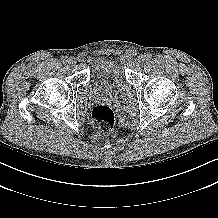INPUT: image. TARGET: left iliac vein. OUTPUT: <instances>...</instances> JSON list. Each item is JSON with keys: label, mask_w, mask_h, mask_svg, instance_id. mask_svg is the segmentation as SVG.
<instances>
[{"label": "left iliac vein", "mask_w": 218, "mask_h": 218, "mask_svg": "<svg viewBox=\"0 0 218 218\" xmlns=\"http://www.w3.org/2000/svg\"><path fill=\"white\" fill-rule=\"evenodd\" d=\"M137 60H138V62H139L140 64H142V63L146 60V57H145V55L140 54V55L138 56Z\"/></svg>", "instance_id": "1"}]
</instances>
